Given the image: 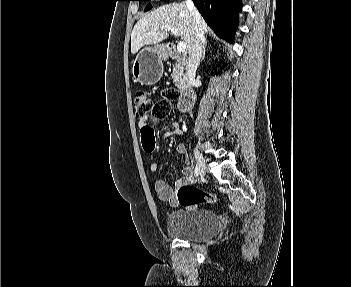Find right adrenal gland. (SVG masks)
<instances>
[{"label": "right adrenal gland", "mask_w": 351, "mask_h": 287, "mask_svg": "<svg viewBox=\"0 0 351 287\" xmlns=\"http://www.w3.org/2000/svg\"><path fill=\"white\" fill-rule=\"evenodd\" d=\"M206 46H207V42H205V44H204V48H203V52H202V56H201V62L205 58Z\"/></svg>", "instance_id": "1"}]
</instances>
